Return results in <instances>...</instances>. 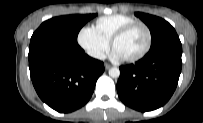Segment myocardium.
Wrapping results in <instances>:
<instances>
[{
  "mask_svg": "<svg viewBox=\"0 0 203 123\" xmlns=\"http://www.w3.org/2000/svg\"><path fill=\"white\" fill-rule=\"evenodd\" d=\"M139 26L142 27L147 34V43H146L144 49L141 52H139L138 54L131 56V57L123 58L125 61L134 62V61L140 60L149 52V50L151 49V46H152V33H151L150 28L144 22H141V21L133 22L131 24L124 26L120 30H118L111 39V46L114 49L115 44L119 39H121L126 34H128L132 29L139 27Z\"/></svg>",
  "mask_w": 203,
  "mask_h": 123,
  "instance_id": "myocardium-1",
  "label": "myocardium"
}]
</instances>
